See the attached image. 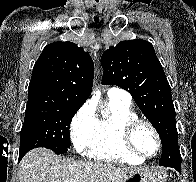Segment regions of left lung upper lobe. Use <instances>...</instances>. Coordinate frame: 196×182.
<instances>
[{
	"mask_svg": "<svg viewBox=\"0 0 196 182\" xmlns=\"http://www.w3.org/2000/svg\"><path fill=\"white\" fill-rule=\"evenodd\" d=\"M101 64L102 83L127 90L158 132L162 147L180 156L171 90L152 44L143 39L121 41L103 53ZM178 160L181 163V156ZM159 165L176 168L161 158Z\"/></svg>",
	"mask_w": 196,
	"mask_h": 182,
	"instance_id": "5c2ea615",
	"label": "left lung upper lobe"
}]
</instances>
